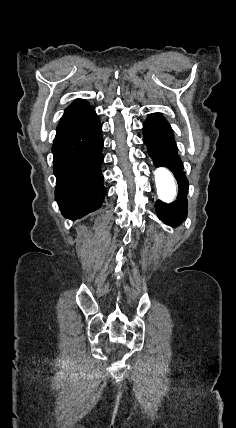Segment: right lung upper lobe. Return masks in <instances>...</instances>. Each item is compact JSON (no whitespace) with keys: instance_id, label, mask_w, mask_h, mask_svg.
I'll list each match as a JSON object with an SVG mask.
<instances>
[{"instance_id":"obj_1","label":"right lung upper lobe","mask_w":236,"mask_h":428,"mask_svg":"<svg viewBox=\"0 0 236 428\" xmlns=\"http://www.w3.org/2000/svg\"><path fill=\"white\" fill-rule=\"evenodd\" d=\"M84 105H88V102H86L85 100L78 99L75 102H73L68 108L84 106Z\"/></svg>"}]
</instances>
